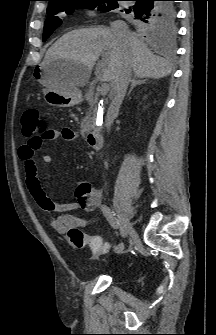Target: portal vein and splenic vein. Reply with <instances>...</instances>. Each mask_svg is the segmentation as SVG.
Masks as SVG:
<instances>
[{"label": "portal vein and splenic vein", "instance_id": "portal-vein-and-splenic-vein-1", "mask_svg": "<svg viewBox=\"0 0 216 335\" xmlns=\"http://www.w3.org/2000/svg\"><path fill=\"white\" fill-rule=\"evenodd\" d=\"M108 91H109V84H107V83H104V84L101 86V88L98 90V92H99L102 96L106 95V94L108 93Z\"/></svg>", "mask_w": 216, "mask_h": 335}]
</instances>
